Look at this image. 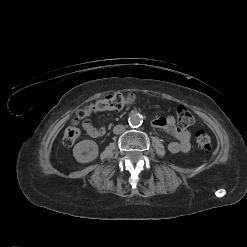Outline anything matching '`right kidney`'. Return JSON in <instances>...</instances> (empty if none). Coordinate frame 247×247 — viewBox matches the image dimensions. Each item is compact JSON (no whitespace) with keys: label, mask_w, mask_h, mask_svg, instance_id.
Here are the masks:
<instances>
[{"label":"right kidney","mask_w":247,"mask_h":247,"mask_svg":"<svg viewBox=\"0 0 247 247\" xmlns=\"http://www.w3.org/2000/svg\"><path fill=\"white\" fill-rule=\"evenodd\" d=\"M73 155L80 163L92 162L98 157V146L92 140H83L74 146Z\"/></svg>","instance_id":"obj_1"}]
</instances>
